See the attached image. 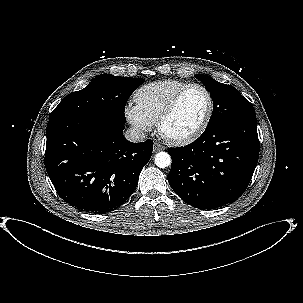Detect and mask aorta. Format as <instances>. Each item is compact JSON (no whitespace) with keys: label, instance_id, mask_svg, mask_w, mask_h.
<instances>
[{"label":"aorta","instance_id":"obj_1","mask_svg":"<svg viewBox=\"0 0 303 303\" xmlns=\"http://www.w3.org/2000/svg\"><path fill=\"white\" fill-rule=\"evenodd\" d=\"M155 164L159 168H165L171 165V156L167 152H159L154 158Z\"/></svg>","mask_w":303,"mask_h":303}]
</instances>
